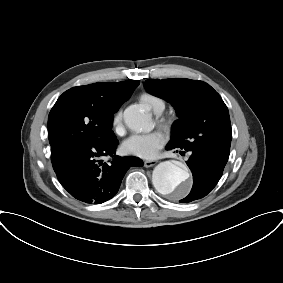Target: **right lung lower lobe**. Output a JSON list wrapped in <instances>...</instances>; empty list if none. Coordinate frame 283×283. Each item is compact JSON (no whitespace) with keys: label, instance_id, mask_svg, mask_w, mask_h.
Wrapping results in <instances>:
<instances>
[{"label":"right lung lower lobe","instance_id":"1","mask_svg":"<svg viewBox=\"0 0 283 283\" xmlns=\"http://www.w3.org/2000/svg\"><path fill=\"white\" fill-rule=\"evenodd\" d=\"M117 139L106 145L81 143L74 148L52 150L51 161L62 186L76 199L101 204L113 198L130 167H141L143 162L132 156L115 155ZM113 157L111 164L102 157Z\"/></svg>","mask_w":283,"mask_h":283}]
</instances>
